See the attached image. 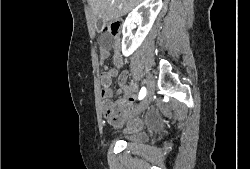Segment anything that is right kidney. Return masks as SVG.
Returning <instances> with one entry per match:
<instances>
[{"instance_id":"ca27d5eb","label":"right kidney","mask_w":250,"mask_h":169,"mask_svg":"<svg viewBox=\"0 0 250 169\" xmlns=\"http://www.w3.org/2000/svg\"><path fill=\"white\" fill-rule=\"evenodd\" d=\"M162 0H143L128 14L122 28V54L130 56L147 36L152 24L162 8ZM137 22L138 28L132 36V28Z\"/></svg>"}]
</instances>
